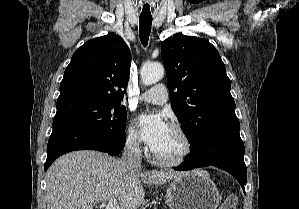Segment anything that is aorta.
I'll use <instances>...</instances> for the list:
<instances>
[{
  "mask_svg": "<svg viewBox=\"0 0 299 209\" xmlns=\"http://www.w3.org/2000/svg\"><path fill=\"white\" fill-rule=\"evenodd\" d=\"M141 81L144 85H152L164 76V68L159 63H146L141 71Z\"/></svg>",
  "mask_w": 299,
  "mask_h": 209,
  "instance_id": "aorta-1",
  "label": "aorta"
}]
</instances>
